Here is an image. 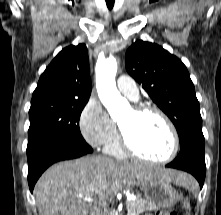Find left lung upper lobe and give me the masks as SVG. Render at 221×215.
<instances>
[{
  "instance_id": "left-lung-upper-lobe-1",
  "label": "left lung upper lobe",
  "mask_w": 221,
  "mask_h": 215,
  "mask_svg": "<svg viewBox=\"0 0 221 215\" xmlns=\"http://www.w3.org/2000/svg\"><path fill=\"white\" fill-rule=\"evenodd\" d=\"M128 73L175 125L180 147L204 139L199 102L186 66L161 46L135 42L126 52Z\"/></svg>"
}]
</instances>
